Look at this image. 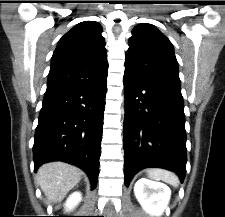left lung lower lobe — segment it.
Masks as SVG:
<instances>
[{
  "instance_id": "obj_1",
  "label": "left lung lower lobe",
  "mask_w": 225,
  "mask_h": 217,
  "mask_svg": "<svg viewBox=\"0 0 225 217\" xmlns=\"http://www.w3.org/2000/svg\"><path fill=\"white\" fill-rule=\"evenodd\" d=\"M123 130L125 185L141 169L174 171L183 182L186 172V131L181 89L147 81L125 71Z\"/></svg>"
}]
</instances>
